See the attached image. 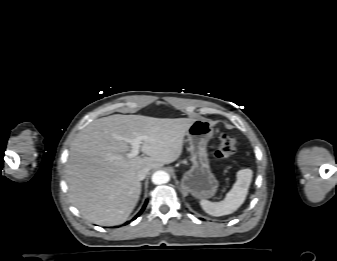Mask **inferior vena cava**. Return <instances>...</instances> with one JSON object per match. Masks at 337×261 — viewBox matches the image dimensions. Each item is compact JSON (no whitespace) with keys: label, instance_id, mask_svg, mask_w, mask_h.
<instances>
[{"label":"inferior vena cava","instance_id":"1","mask_svg":"<svg viewBox=\"0 0 337 261\" xmlns=\"http://www.w3.org/2000/svg\"><path fill=\"white\" fill-rule=\"evenodd\" d=\"M149 168H143V169H141L139 172H138V179L139 180H143V179H145V177H146V175H147V173L149 172Z\"/></svg>","mask_w":337,"mask_h":261}]
</instances>
